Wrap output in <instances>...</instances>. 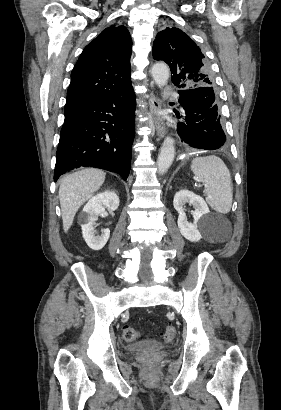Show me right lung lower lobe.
I'll return each mask as SVG.
<instances>
[{"label":"right lung lower lobe","mask_w":281,"mask_h":410,"mask_svg":"<svg viewBox=\"0 0 281 410\" xmlns=\"http://www.w3.org/2000/svg\"><path fill=\"white\" fill-rule=\"evenodd\" d=\"M135 94L132 85L95 100L65 117L56 152L54 181L78 167H96L129 175L134 139Z\"/></svg>","instance_id":"right-lung-lower-lobe-1"}]
</instances>
